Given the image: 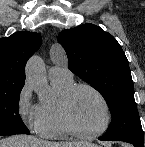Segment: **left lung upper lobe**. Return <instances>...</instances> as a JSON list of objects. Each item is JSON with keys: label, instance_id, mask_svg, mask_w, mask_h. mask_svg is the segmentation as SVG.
I'll return each mask as SVG.
<instances>
[{"label": "left lung upper lobe", "instance_id": "left-lung-upper-lobe-1", "mask_svg": "<svg viewBox=\"0 0 145 147\" xmlns=\"http://www.w3.org/2000/svg\"><path fill=\"white\" fill-rule=\"evenodd\" d=\"M68 56V68L106 100L112 122L104 138L144 143L134 100L128 60L116 39L99 26L84 24L58 35Z\"/></svg>", "mask_w": 145, "mask_h": 147}]
</instances>
